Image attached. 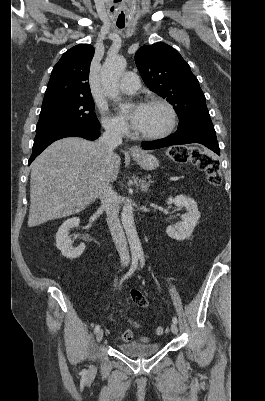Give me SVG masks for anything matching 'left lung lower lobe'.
Masks as SVG:
<instances>
[{
	"label": "left lung lower lobe",
	"instance_id": "obj_1",
	"mask_svg": "<svg viewBox=\"0 0 265 401\" xmlns=\"http://www.w3.org/2000/svg\"><path fill=\"white\" fill-rule=\"evenodd\" d=\"M200 143L220 154L216 132L210 118L189 123L177 129L176 133L155 141L142 142L143 149H157L171 145Z\"/></svg>",
	"mask_w": 265,
	"mask_h": 401
}]
</instances>
